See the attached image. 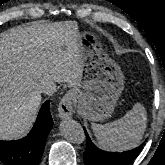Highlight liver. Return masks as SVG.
<instances>
[{
    "instance_id": "obj_1",
    "label": "liver",
    "mask_w": 165,
    "mask_h": 165,
    "mask_svg": "<svg viewBox=\"0 0 165 165\" xmlns=\"http://www.w3.org/2000/svg\"><path fill=\"white\" fill-rule=\"evenodd\" d=\"M78 26L66 21L18 28L0 39V139L21 137L30 128L41 101L44 82L76 86L83 63L77 53ZM67 44L68 54L58 49Z\"/></svg>"
}]
</instances>
